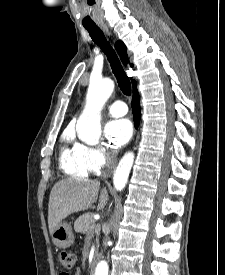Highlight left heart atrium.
Masks as SVG:
<instances>
[{"label":"left heart atrium","mask_w":225,"mask_h":275,"mask_svg":"<svg viewBox=\"0 0 225 275\" xmlns=\"http://www.w3.org/2000/svg\"><path fill=\"white\" fill-rule=\"evenodd\" d=\"M105 134L113 146L124 145L132 136V124L128 119H115L107 123Z\"/></svg>","instance_id":"39dd6f15"}]
</instances>
